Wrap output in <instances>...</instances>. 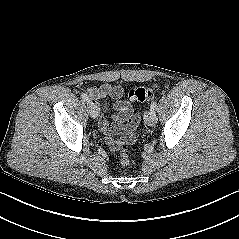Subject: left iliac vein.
I'll return each mask as SVG.
<instances>
[{"label":"left iliac vein","instance_id":"4c4485c4","mask_svg":"<svg viewBox=\"0 0 239 239\" xmlns=\"http://www.w3.org/2000/svg\"><path fill=\"white\" fill-rule=\"evenodd\" d=\"M144 121L148 126H154L157 122V116L155 111L149 110L145 112Z\"/></svg>","mask_w":239,"mask_h":239}]
</instances>
